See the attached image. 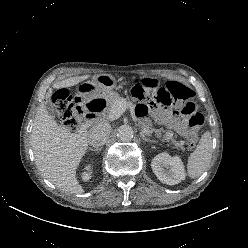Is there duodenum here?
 <instances>
[{"mask_svg": "<svg viewBox=\"0 0 248 248\" xmlns=\"http://www.w3.org/2000/svg\"><path fill=\"white\" fill-rule=\"evenodd\" d=\"M83 116L87 118H94V115L92 113H89L88 111H85V110H84Z\"/></svg>", "mask_w": 248, "mask_h": 248, "instance_id": "1", "label": "duodenum"}]
</instances>
